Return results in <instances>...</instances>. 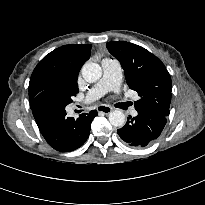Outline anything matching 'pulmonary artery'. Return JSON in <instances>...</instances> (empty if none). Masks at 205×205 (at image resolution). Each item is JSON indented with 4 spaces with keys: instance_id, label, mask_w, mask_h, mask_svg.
Here are the masks:
<instances>
[{
    "instance_id": "1",
    "label": "pulmonary artery",
    "mask_w": 205,
    "mask_h": 205,
    "mask_svg": "<svg viewBox=\"0 0 205 205\" xmlns=\"http://www.w3.org/2000/svg\"><path fill=\"white\" fill-rule=\"evenodd\" d=\"M103 76L101 80L87 93L85 102H91L100 98L105 92L118 87L121 80V66L115 59H104L102 61ZM138 112L131 110V115L136 116Z\"/></svg>"
}]
</instances>
